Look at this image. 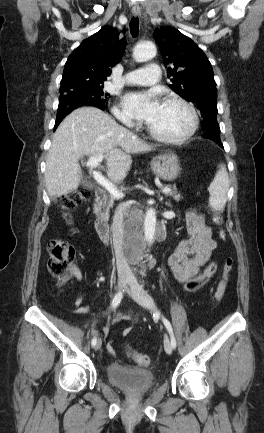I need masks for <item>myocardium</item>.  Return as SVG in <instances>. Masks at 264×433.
<instances>
[{"label": "myocardium", "mask_w": 264, "mask_h": 433, "mask_svg": "<svg viewBox=\"0 0 264 433\" xmlns=\"http://www.w3.org/2000/svg\"><path fill=\"white\" fill-rule=\"evenodd\" d=\"M163 103H175L185 108L191 118L190 126L184 134L178 137H168L157 133L150 127V125H147L148 134L155 140L166 144L179 145L185 143L195 134L199 125V117L196 109L185 99L178 96H167L163 99Z\"/></svg>", "instance_id": "myocardium-1"}]
</instances>
